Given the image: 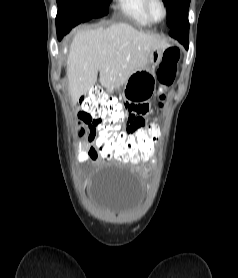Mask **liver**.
<instances>
[{
    "mask_svg": "<svg viewBox=\"0 0 238 278\" xmlns=\"http://www.w3.org/2000/svg\"><path fill=\"white\" fill-rule=\"evenodd\" d=\"M167 46L158 35L137 30L128 23L76 30L66 63L73 104L95 85L98 72L101 85L111 93L143 69L155 49L165 50Z\"/></svg>",
    "mask_w": 238,
    "mask_h": 278,
    "instance_id": "obj_1",
    "label": "liver"
}]
</instances>
